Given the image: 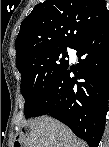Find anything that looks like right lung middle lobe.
Here are the masks:
<instances>
[{
    "instance_id": "obj_1",
    "label": "right lung middle lobe",
    "mask_w": 109,
    "mask_h": 147,
    "mask_svg": "<svg viewBox=\"0 0 109 147\" xmlns=\"http://www.w3.org/2000/svg\"><path fill=\"white\" fill-rule=\"evenodd\" d=\"M66 48L40 53L31 63L19 68L26 118L35 117L46 94L69 63Z\"/></svg>"
}]
</instances>
